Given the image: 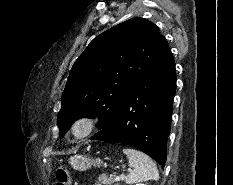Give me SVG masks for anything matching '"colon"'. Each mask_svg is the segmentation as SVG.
Masks as SVG:
<instances>
[{
  "instance_id": "1",
  "label": "colon",
  "mask_w": 233,
  "mask_h": 185,
  "mask_svg": "<svg viewBox=\"0 0 233 185\" xmlns=\"http://www.w3.org/2000/svg\"><path fill=\"white\" fill-rule=\"evenodd\" d=\"M55 185H71V174L65 166H60L56 170Z\"/></svg>"
}]
</instances>
